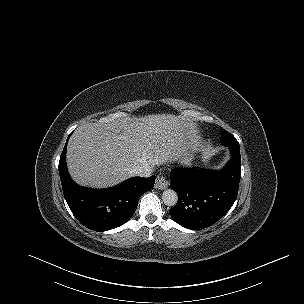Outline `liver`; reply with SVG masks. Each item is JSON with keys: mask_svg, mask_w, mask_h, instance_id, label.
Returning a JSON list of instances; mask_svg holds the SVG:
<instances>
[{"mask_svg": "<svg viewBox=\"0 0 304 304\" xmlns=\"http://www.w3.org/2000/svg\"><path fill=\"white\" fill-rule=\"evenodd\" d=\"M190 121L171 114L126 118L112 126L90 124L77 129L67 147L71 177L82 186L107 188L132 175L135 167L191 160L196 146Z\"/></svg>", "mask_w": 304, "mask_h": 304, "instance_id": "liver-1", "label": "liver"}]
</instances>
